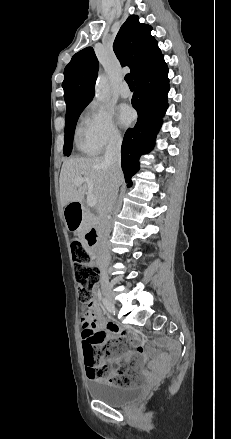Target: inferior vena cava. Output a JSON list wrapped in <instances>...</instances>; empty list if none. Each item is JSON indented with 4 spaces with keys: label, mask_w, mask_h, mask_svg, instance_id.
Returning a JSON list of instances; mask_svg holds the SVG:
<instances>
[{
    "label": "inferior vena cava",
    "mask_w": 231,
    "mask_h": 439,
    "mask_svg": "<svg viewBox=\"0 0 231 439\" xmlns=\"http://www.w3.org/2000/svg\"><path fill=\"white\" fill-rule=\"evenodd\" d=\"M121 144H122L121 137L114 136L109 141L104 155V160L108 165L110 171V184L102 204V212H103L102 225L105 231H104L103 240L97 246L99 263L108 262L110 259L109 251L106 246V241H107V235L109 234L110 231L109 214L112 211L117 198L120 180L123 178V173L121 170ZM102 277L107 279L106 274H103Z\"/></svg>",
    "instance_id": "602c4592"
}]
</instances>
